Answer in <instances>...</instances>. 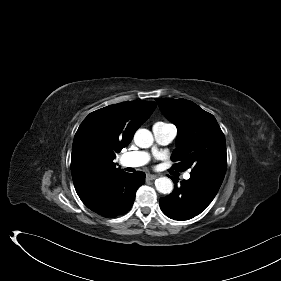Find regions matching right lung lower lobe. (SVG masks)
<instances>
[{"label":"right lung lower lobe","mask_w":281,"mask_h":281,"mask_svg":"<svg viewBox=\"0 0 281 281\" xmlns=\"http://www.w3.org/2000/svg\"><path fill=\"white\" fill-rule=\"evenodd\" d=\"M145 183V173L129 174L119 170L96 182L79 195L92 211L104 217H116L126 213L133 205L137 189Z\"/></svg>","instance_id":"1"}]
</instances>
